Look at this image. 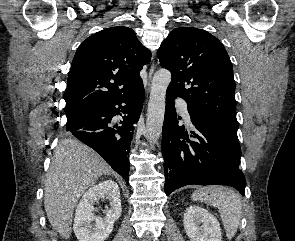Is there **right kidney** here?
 Returning <instances> with one entry per match:
<instances>
[{"label":"right kidney","instance_id":"obj_1","mask_svg":"<svg viewBox=\"0 0 295 241\" xmlns=\"http://www.w3.org/2000/svg\"><path fill=\"white\" fill-rule=\"evenodd\" d=\"M108 200L105 217L95 216L94 204ZM119 187L112 180H105L89 188L80 200L75 213L73 229L79 241H104L113 230L115 221L121 216ZM94 222V223H93Z\"/></svg>","mask_w":295,"mask_h":241}]
</instances>
